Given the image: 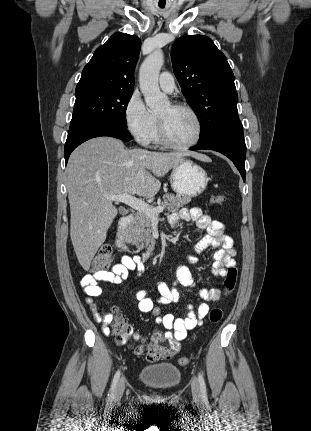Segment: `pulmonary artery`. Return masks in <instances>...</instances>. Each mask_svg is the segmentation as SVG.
Returning a JSON list of instances; mask_svg holds the SVG:
<instances>
[{
	"label": "pulmonary artery",
	"mask_w": 311,
	"mask_h": 431,
	"mask_svg": "<svg viewBox=\"0 0 311 431\" xmlns=\"http://www.w3.org/2000/svg\"><path fill=\"white\" fill-rule=\"evenodd\" d=\"M158 84L161 90L166 93H172L176 88L174 77L167 71L160 74Z\"/></svg>",
	"instance_id": "pulmonary-artery-1"
}]
</instances>
